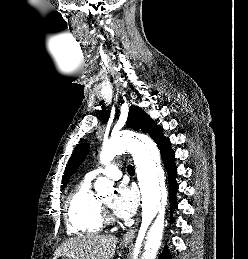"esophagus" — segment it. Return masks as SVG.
<instances>
[{
	"instance_id": "obj_1",
	"label": "esophagus",
	"mask_w": 248,
	"mask_h": 259,
	"mask_svg": "<svg viewBox=\"0 0 248 259\" xmlns=\"http://www.w3.org/2000/svg\"><path fill=\"white\" fill-rule=\"evenodd\" d=\"M139 221H140V218H138L135 225L123 235L122 237L123 244H129L133 242L136 236V232L138 230Z\"/></svg>"
}]
</instances>
